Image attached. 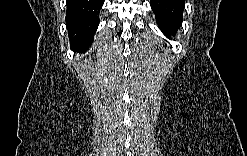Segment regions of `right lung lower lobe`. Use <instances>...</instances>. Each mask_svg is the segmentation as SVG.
<instances>
[{"mask_svg":"<svg viewBox=\"0 0 247 156\" xmlns=\"http://www.w3.org/2000/svg\"><path fill=\"white\" fill-rule=\"evenodd\" d=\"M101 0H67L66 25L70 47L82 53L89 49L99 25Z\"/></svg>","mask_w":247,"mask_h":156,"instance_id":"1","label":"right lung lower lobe"}]
</instances>
